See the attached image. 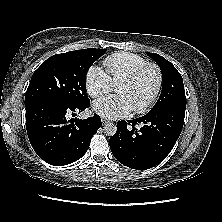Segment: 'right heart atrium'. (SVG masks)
<instances>
[{
  "mask_svg": "<svg viewBox=\"0 0 222 222\" xmlns=\"http://www.w3.org/2000/svg\"><path fill=\"white\" fill-rule=\"evenodd\" d=\"M86 90L92 97H99L113 89V82L107 72L100 67L92 66L85 78Z\"/></svg>",
  "mask_w": 222,
  "mask_h": 222,
  "instance_id": "1",
  "label": "right heart atrium"
}]
</instances>
